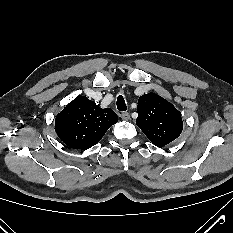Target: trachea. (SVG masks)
I'll list each match as a JSON object with an SVG mask.
<instances>
[{"label": "trachea", "instance_id": "3493384b", "mask_svg": "<svg viewBox=\"0 0 233 233\" xmlns=\"http://www.w3.org/2000/svg\"><path fill=\"white\" fill-rule=\"evenodd\" d=\"M117 109L119 111H126L127 106L122 95H119L117 98Z\"/></svg>", "mask_w": 233, "mask_h": 233}]
</instances>
